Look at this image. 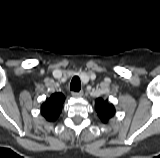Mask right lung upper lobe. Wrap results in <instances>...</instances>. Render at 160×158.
<instances>
[{"label":"right lung upper lobe","instance_id":"1","mask_svg":"<svg viewBox=\"0 0 160 158\" xmlns=\"http://www.w3.org/2000/svg\"><path fill=\"white\" fill-rule=\"evenodd\" d=\"M65 97L62 93H54L41 106V114L47 121H55L62 110Z\"/></svg>","mask_w":160,"mask_h":158}]
</instances>
